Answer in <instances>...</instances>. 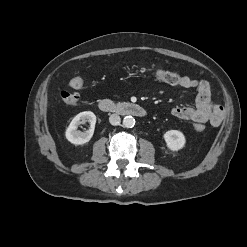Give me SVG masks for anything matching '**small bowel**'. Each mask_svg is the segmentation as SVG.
<instances>
[{
	"label": "small bowel",
	"instance_id": "c3829d8e",
	"mask_svg": "<svg viewBox=\"0 0 247 247\" xmlns=\"http://www.w3.org/2000/svg\"><path fill=\"white\" fill-rule=\"evenodd\" d=\"M178 89H197V96L194 106H176L172 109L173 116L189 120L195 123H209L217 127L224 118V109L213 102L210 84L203 79H194L188 76L181 77L176 85Z\"/></svg>",
	"mask_w": 247,
	"mask_h": 247
}]
</instances>
